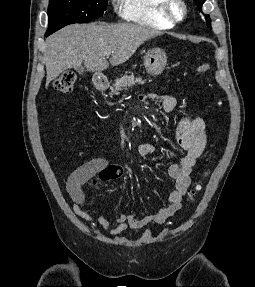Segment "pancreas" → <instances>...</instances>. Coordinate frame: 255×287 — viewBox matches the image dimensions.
I'll use <instances>...</instances> for the list:
<instances>
[{"instance_id":"pancreas-1","label":"pancreas","mask_w":255,"mask_h":287,"mask_svg":"<svg viewBox=\"0 0 255 287\" xmlns=\"http://www.w3.org/2000/svg\"><path fill=\"white\" fill-rule=\"evenodd\" d=\"M130 74V76H128ZM146 80H142V78H135L132 72H125V76H121V78H117L115 80V84H113V88H110L111 94L109 96H114V94H120L121 90H128V88H132V86H136V84H145ZM152 82V80H149Z\"/></svg>"}]
</instances>
